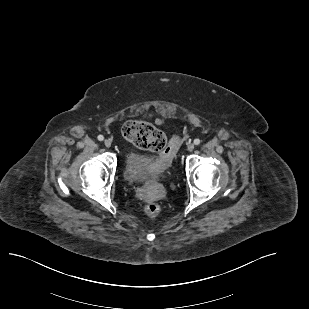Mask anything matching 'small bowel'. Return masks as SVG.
<instances>
[{
    "label": "small bowel",
    "mask_w": 309,
    "mask_h": 309,
    "mask_svg": "<svg viewBox=\"0 0 309 309\" xmlns=\"http://www.w3.org/2000/svg\"><path fill=\"white\" fill-rule=\"evenodd\" d=\"M155 122H156L157 124H160V123H161V120L158 119V118H156V119H155Z\"/></svg>",
    "instance_id": "obj_1"
}]
</instances>
